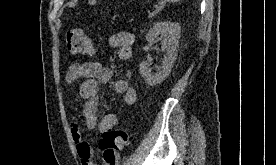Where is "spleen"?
Wrapping results in <instances>:
<instances>
[{
    "label": "spleen",
    "mask_w": 276,
    "mask_h": 165,
    "mask_svg": "<svg viewBox=\"0 0 276 165\" xmlns=\"http://www.w3.org/2000/svg\"><path fill=\"white\" fill-rule=\"evenodd\" d=\"M168 2H177L179 0H167Z\"/></svg>",
    "instance_id": "1"
}]
</instances>
